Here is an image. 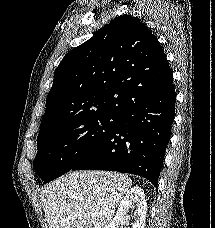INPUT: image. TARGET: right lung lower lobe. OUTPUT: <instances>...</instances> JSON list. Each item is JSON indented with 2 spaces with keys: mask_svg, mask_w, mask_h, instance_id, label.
<instances>
[{
  "mask_svg": "<svg viewBox=\"0 0 215 228\" xmlns=\"http://www.w3.org/2000/svg\"><path fill=\"white\" fill-rule=\"evenodd\" d=\"M164 88L119 114L113 130L71 170H108L131 173L157 189L165 150L175 116L173 76Z\"/></svg>",
  "mask_w": 215,
  "mask_h": 228,
  "instance_id": "98d812e1",
  "label": "right lung lower lobe"
}]
</instances>
